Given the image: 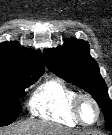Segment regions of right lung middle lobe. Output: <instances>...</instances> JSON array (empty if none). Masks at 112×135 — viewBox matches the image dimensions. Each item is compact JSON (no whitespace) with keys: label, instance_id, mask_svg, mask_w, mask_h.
I'll list each match as a JSON object with an SVG mask.
<instances>
[{"label":"right lung middle lobe","instance_id":"obj_1","mask_svg":"<svg viewBox=\"0 0 112 135\" xmlns=\"http://www.w3.org/2000/svg\"><path fill=\"white\" fill-rule=\"evenodd\" d=\"M38 78H27L22 75H8L0 78V126L13 123L22 106L19 99L26 95L25 88Z\"/></svg>","mask_w":112,"mask_h":135}]
</instances>
